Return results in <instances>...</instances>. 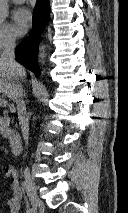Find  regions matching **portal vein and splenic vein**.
<instances>
[{
	"label": "portal vein and splenic vein",
	"instance_id": "portal-vein-and-splenic-vein-1",
	"mask_svg": "<svg viewBox=\"0 0 128 213\" xmlns=\"http://www.w3.org/2000/svg\"><path fill=\"white\" fill-rule=\"evenodd\" d=\"M7 100H5V99H0V106H2V107H6L7 106Z\"/></svg>",
	"mask_w": 128,
	"mask_h": 213
}]
</instances>
